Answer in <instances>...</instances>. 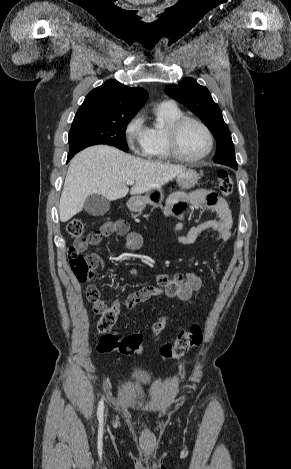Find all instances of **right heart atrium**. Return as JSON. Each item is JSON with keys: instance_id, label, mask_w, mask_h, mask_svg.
I'll use <instances>...</instances> for the list:
<instances>
[{"instance_id": "obj_1", "label": "right heart atrium", "mask_w": 291, "mask_h": 469, "mask_svg": "<svg viewBox=\"0 0 291 469\" xmlns=\"http://www.w3.org/2000/svg\"><path fill=\"white\" fill-rule=\"evenodd\" d=\"M124 138L126 144L132 151L136 153L143 152L147 138V127L144 124L143 115L141 113L136 114L126 124Z\"/></svg>"}]
</instances>
